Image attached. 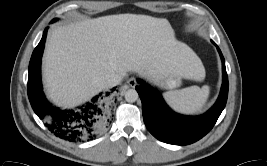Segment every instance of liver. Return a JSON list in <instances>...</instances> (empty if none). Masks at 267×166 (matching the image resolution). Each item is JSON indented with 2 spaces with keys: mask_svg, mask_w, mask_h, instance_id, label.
Returning a JSON list of instances; mask_svg holds the SVG:
<instances>
[{
  "mask_svg": "<svg viewBox=\"0 0 267 166\" xmlns=\"http://www.w3.org/2000/svg\"><path fill=\"white\" fill-rule=\"evenodd\" d=\"M133 71L145 78L175 75L203 81L205 69L186 44L174 39L166 19L118 14L58 26L43 59L50 99L72 107L105 89L102 78Z\"/></svg>",
  "mask_w": 267,
  "mask_h": 166,
  "instance_id": "6515ba94",
  "label": "liver"
}]
</instances>
